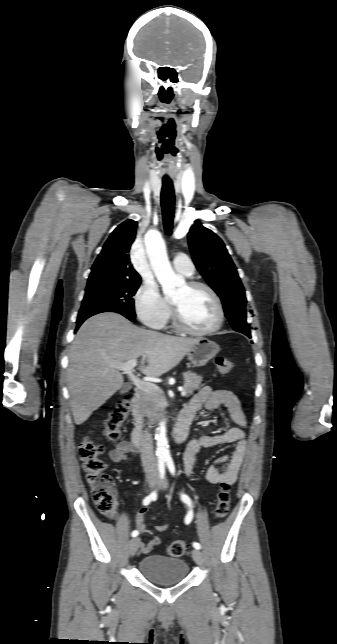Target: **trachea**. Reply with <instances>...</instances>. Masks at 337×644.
<instances>
[{"mask_svg":"<svg viewBox=\"0 0 337 644\" xmlns=\"http://www.w3.org/2000/svg\"><path fill=\"white\" fill-rule=\"evenodd\" d=\"M175 195L173 183L170 180H163L161 190V206L163 214V224L167 235H171L174 218Z\"/></svg>","mask_w":337,"mask_h":644,"instance_id":"obj_1","label":"trachea"}]
</instances>
